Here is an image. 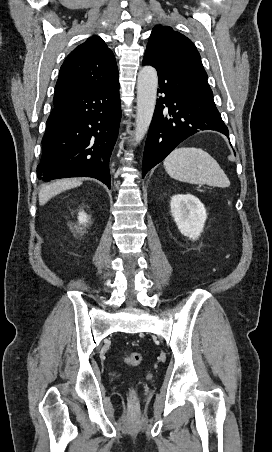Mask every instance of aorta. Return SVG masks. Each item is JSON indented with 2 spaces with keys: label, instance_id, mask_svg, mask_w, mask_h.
<instances>
[{
  "label": "aorta",
  "instance_id": "1",
  "mask_svg": "<svg viewBox=\"0 0 272 452\" xmlns=\"http://www.w3.org/2000/svg\"><path fill=\"white\" fill-rule=\"evenodd\" d=\"M158 86L156 69L144 66L138 73L137 79V114L135 120L134 145L145 136L150 126L155 105Z\"/></svg>",
  "mask_w": 272,
  "mask_h": 452
}]
</instances>
